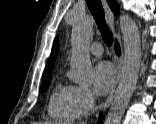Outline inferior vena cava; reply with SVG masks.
<instances>
[{
  "instance_id": "obj_1",
  "label": "inferior vena cava",
  "mask_w": 156,
  "mask_h": 124,
  "mask_svg": "<svg viewBox=\"0 0 156 124\" xmlns=\"http://www.w3.org/2000/svg\"><path fill=\"white\" fill-rule=\"evenodd\" d=\"M81 124H86L85 122H82Z\"/></svg>"
}]
</instances>
